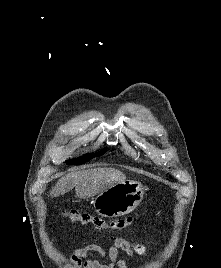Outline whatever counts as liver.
<instances>
[{"label":"liver","instance_id":"liver-1","mask_svg":"<svg viewBox=\"0 0 221 268\" xmlns=\"http://www.w3.org/2000/svg\"><path fill=\"white\" fill-rule=\"evenodd\" d=\"M126 181L123 172L114 168H91L73 171L62 176L49 195L59 197L75 188L77 197H93L117 183Z\"/></svg>","mask_w":221,"mask_h":268}]
</instances>
